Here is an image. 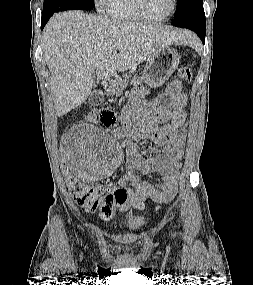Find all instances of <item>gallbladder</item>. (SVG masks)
Returning <instances> with one entry per match:
<instances>
[{"instance_id": "bac80fb5", "label": "gallbladder", "mask_w": 253, "mask_h": 285, "mask_svg": "<svg viewBox=\"0 0 253 285\" xmlns=\"http://www.w3.org/2000/svg\"><path fill=\"white\" fill-rule=\"evenodd\" d=\"M91 77H92V80H93V82H94V85H96V83H97V78H98L96 71H93V72H92Z\"/></svg>"}]
</instances>
